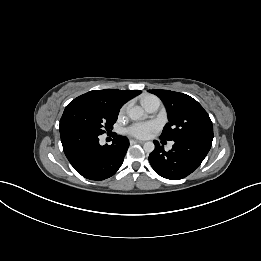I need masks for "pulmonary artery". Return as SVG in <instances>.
<instances>
[{
  "instance_id": "obj_1",
  "label": "pulmonary artery",
  "mask_w": 261,
  "mask_h": 261,
  "mask_svg": "<svg viewBox=\"0 0 261 261\" xmlns=\"http://www.w3.org/2000/svg\"><path fill=\"white\" fill-rule=\"evenodd\" d=\"M142 105L147 113L153 114L157 112L160 108L161 101L159 98L152 96L149 99H147ZM170 146H172V144H170Z\"/></svg>"
}]
</instances>
